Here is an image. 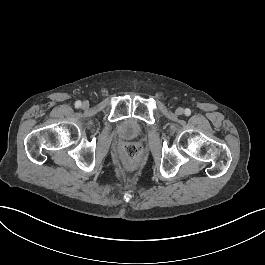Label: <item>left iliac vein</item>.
Instances as JSON below:
<instances>
[{
	"mask_svg": "<svg viewBox=\"0 0 265 265\" xmlns=\"http://www.w3.org/2000/svg\"><path fill=\"white\" fill-rule=\"evenodd\" d=\"M175 112L177 115H182L184 112V109L182 107H178Z\"/></svg>",
	"mask_w": 265,
	"mask_h": 265,
	"instance_id": "4c4485c4",
	"label": "left iliac vein"
}]
</instances>
